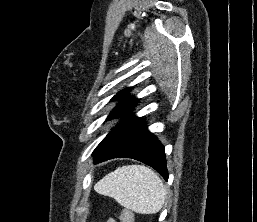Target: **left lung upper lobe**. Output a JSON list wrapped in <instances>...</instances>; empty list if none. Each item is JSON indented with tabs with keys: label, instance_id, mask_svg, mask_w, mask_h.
<instances>
[{
	"label": "left lung upper lobe",
	"instance_id": "5c2ea615",
	"mask_svg": "<svg viewBox=\"0 0 257 222\" xmlns=\"http://www.w3.org/2000/svg\"><path fill=\"white\" fill-rule=\"evenodd\" d=\"M130 89L131 88H125L113 97L112 100L121 98V101L109 114L107 120L117 118L119 116L123 117V119L110 131V133L96 147V149L93 152V155L100 151L117 133H119L120 130H122V128H124L130 121H132L135 118L133 114L130 115L129 113L134 108L139 99H135V97H126ZM125 114H128V116H125Z\"/></svg>",
	"mask_w": 257,
	"mask_h": 222
}]
</instances>
